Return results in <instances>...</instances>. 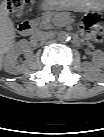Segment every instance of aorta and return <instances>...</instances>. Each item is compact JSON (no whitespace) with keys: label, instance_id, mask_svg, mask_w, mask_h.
<instances>
[{"label":"aorta","instance_id":"aorta-1","mask_svg":"<svg viewBox=\"0 0 104 137\" xmlns=\"http://www.w3.org/2000/svg\"><path fill=\"white\" fill-rule=\"evenodd\" d=\"M58 41L60 43H65L66 41L70 40V37L68 36V33L64 30H59L57 32Z\"/></svg>","mask_w":104,"mask_h":137}]
</instances>
